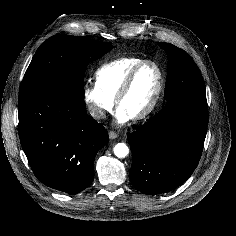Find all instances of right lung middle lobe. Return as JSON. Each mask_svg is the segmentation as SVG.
Returning <instances> with one entry per match:
<instances>
[{"label":"right lung middle lobe","instance_id":"right-lung-middle-lobe-1","mask_svg":"<svg viewBox=\"0 0 236 236\" xmlns=\"http://www.w3.org/2000/svg\"><path fill=\"white\" fill-rule=\"evenodd\" d=\"M113 46L86 37L55 35L36 51L21 84L20 95L39 89L68 90L83 96L87 65Z\"/></svg>","mask_w":236,"mask_h":236}]
</instances>
